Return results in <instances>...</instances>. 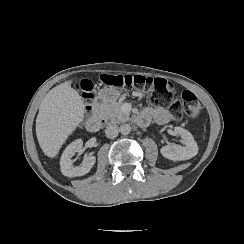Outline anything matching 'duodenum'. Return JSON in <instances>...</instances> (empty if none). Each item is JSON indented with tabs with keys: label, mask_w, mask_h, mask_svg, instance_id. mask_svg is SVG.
<instances>
[{
	"label": "duodenum",
	"mask_w": 244,
	"mask_h": 244,
	"mask_svg": "<svg viewBox=\"0 0 244 244\" xmlns=\"http://www.w3.org/2000/svg\"><path fill=\"white\" fill-rule=\"evenodd\" d=\"M107 94H102L95 98L92 102L93 115L88 118L86 122V128L89 132H97L100 127L105 123L104 109L106 106V101L108 99ZM141 123H146V119L141 117L138 118Z\"/></svg>",
	"instance_id": "1"
}]
</instances>
